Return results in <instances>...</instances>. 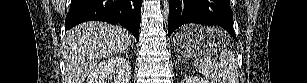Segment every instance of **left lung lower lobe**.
<instances>
[{
  "mask_svg": "<svg viewBox=\"0 0 307 83\" xmlns=\"http://www.w3.org/2000/svg\"><path fill=\"white\" fill-rule=\"evenodd\" d=\"M187 23L219 25L236 39L229 0H169V37Z\"/></svg>",
  "mask_w": 307,
  "mask_h": 83,
  "instance_id": "0a47b994",
  "label": "left lung lower lobe"
}]
</instances>
